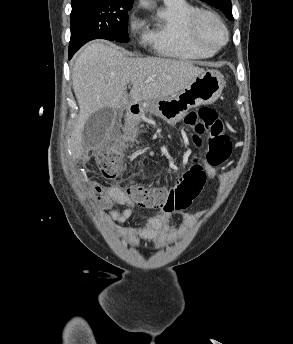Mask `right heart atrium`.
<instances>
[{"instance_id": "obj_1", "label": "right heart atrium", "mask_w": 293, "mask_h": 344, "mask_svg": "<svg viewBox=\"0 0 293 344\" xmlns=\"http://www.w3.org/2000/svg\"><path fill=\"white\" fill-rule=\"evenodd\" d=\"M141 27L142 21L134 14L130 15V17L128 18V29L131 32H137L141 29Z\"/></svg>"}]
</instances>
